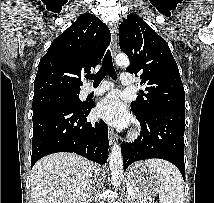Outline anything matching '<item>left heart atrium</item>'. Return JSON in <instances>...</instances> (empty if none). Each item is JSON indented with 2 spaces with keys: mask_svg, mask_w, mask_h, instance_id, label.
Here are the masks:
<instances>
[{
  "mask_svg": "<svg viewBox=\"0 0 214 203\" xmlns=\"http://www.w3.org/2000/svg\"><path fill=\"white\" fill-rule=\"evenodd\" d=\"M97 114L109 124L115 126L123 127L130 122L126 106L118 92L110 93L99 103Z\"/></svg>",
  "mask_w": 214,
  "mask_h": 203,
  "instance_id": "obj_1",
  "label": "left heart atrium"
}]
</instances>
